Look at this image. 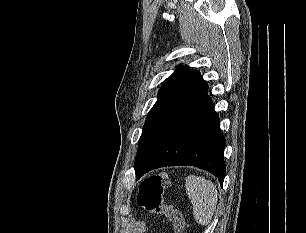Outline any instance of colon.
I'll return each instance as SVG.
<instances>
[{
    "label": "colon",
    "mask_w": 306,
    "mask_h": 233,
    "mask_svg": "<svg viewBox=\"0 0 306 233\" xmlns=\"http://www.w3.org/2000/svg\"><path fill=\"white\" fill-rule=\"evenodd\" d=\"M168 186V176L164 171L145 178L139 185L137 202L149 213L167 218L173 223L175 233H183L186 220L182 212L165 201L164 192Z\"/></svg>",
    "instance_id": "5ec220e1"
}]
</instances>
